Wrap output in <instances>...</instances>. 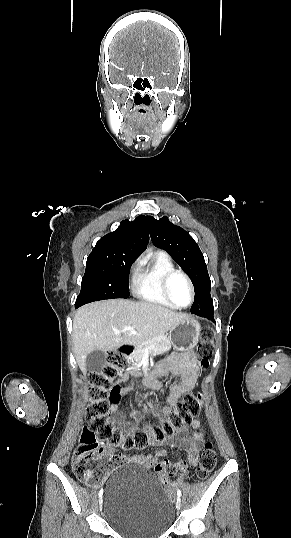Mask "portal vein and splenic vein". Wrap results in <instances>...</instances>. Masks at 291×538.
Instances as JSON below:
<instances>
[{"instance_id":"portal-vein-and-splenic-vein-1","label":"portal vein and splenic vein","mask_w":291,"mask_h":538,"mask_svg":"<svg viewBox=\"0 0 291 538\" xmlns=\"http://www.w3.org/2000/svg\"><path fill=\"white\" fill-rule=\"evenodd\" d=\"M127 330L133 331V328L131 326H125L122 330H119L117 332L121 333V332H124V331H127Z\"/></svg>"}]
</instances>
